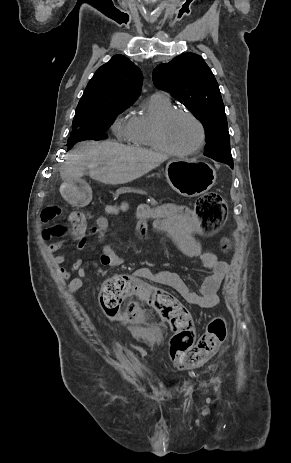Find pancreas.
Returning <instances> with one entry per match:
<instances>
[{"instance_id": "cf45deb5", "label": "pancreas", "mask_w": 291, "mask_h": 463, "mask_svg": "<svg viewBox=\"0 0 291 463\" xmlns=\"http://www.w3.org/2000/svg\"><path fill=\"white\" fill-rule=\"evenodd\" d=\"M158 189H159L158 186H150V187L145 188L146 191H150V192L157 191Z\"/></svg>"}]
</instances>
